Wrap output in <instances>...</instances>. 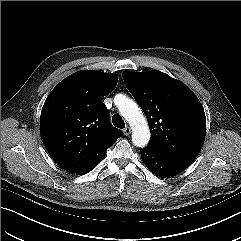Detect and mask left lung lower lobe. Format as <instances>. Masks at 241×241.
I'll use <instances>...</instances> for the list:
<instances>
[{"instance_id": "1", "label": "left lung lower lobe", "mask_w": 241, "mask_h": 241, "mask_svg": "<svg viewBox=\"0 0 241 241\" xmlns=\"http://www.w3.org/2000/svg\"><path fill=\"white\" fill-rule=\"evenodd\" d=\"M141 157L146 166L157 176L168 177L185 170L192 161L174 158L155 149H140Z\"/></svg>"}]
</instances>
